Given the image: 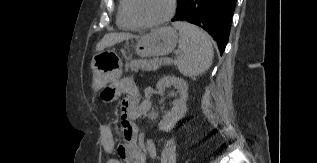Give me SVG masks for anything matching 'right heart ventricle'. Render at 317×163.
I'll return each instance as SVG.
<instances>
[{
	"mask_svg": "<svg viewBox=\"0 0 317 163\" xmlns=\"http://www.w3.org/2000/svg\"><path fill=\"white\" fill-rule=\"evenodd\" d=\"M117 25L124 30H135L140 27L132 20L129 15L128 0H119Z\"/></svg>",
	"mask_w": 317,
	"mask_h": 163,
	"instance_id": "right-heart-ventricle-1",
	"label": "right heart ventricle"
}]
</instances>
